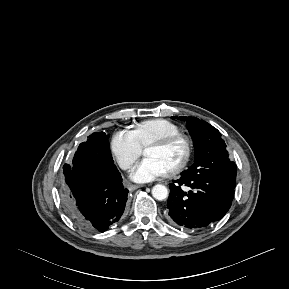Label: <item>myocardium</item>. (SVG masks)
<instances>
[{
  "label": "myocardium",
  "instance_id": "obj_1",
  "mask_svg": "<svg viewBox=\"0 0 289 289\" xmlns=\"http://www.w3.org/2000/svg\"><path fill=\"white\" fill-rule=\"evenodd\" d=\"M175 143H181L183 145L184 154L182 159L167 171L168 175H176L188 166L193 153V144L190 138L184 134L178 133L155 140L147 146V148H166Z\"/></svg>",
  "mask_w": 289,
  "mask_h": 289
}]
</instances>
